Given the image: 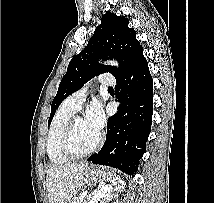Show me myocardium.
I'll list each match as a JSON object with an SVG mask.
<instances>
[{"label": "myocardium", "mask_w": 214, "mask_h": 203, "mask_svg": "<svg viewBox=\"0 0 214 203\" xmlns=\"http://www.w3.org/2000/svg\"><path fill=\"white\" fill-rule=\"evenodd\" d=\"M80 116H73L68 122L61 139V150L70 159L84 158L94 153L102 144L103 134L99 132L95 144L86 151H77L73 146V136L77 120Z\"/></svg>", "instance_id": "f54148a6"}]
</instances>
